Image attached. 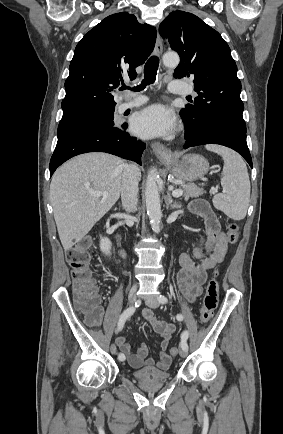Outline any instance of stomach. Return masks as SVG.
I'll return each instance as SVG.
<instances>
[{"label": "stomach", "mask_w": 283, "mask_h": 434, "mask_svg": "<svg viewBox=\"0 0 283 434\" xmlns=\"http://www.w3.org/2000/svg\"><path fill=\"white\" fill-rule=\"evenodd\" d=\"M172 174L180 180L193 182L203 177L209 170L207 159L198 154H187L179 158L164 160Z\"/></svg>", "instance_id": "1"}]
</instances>
